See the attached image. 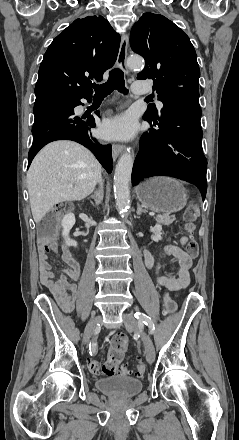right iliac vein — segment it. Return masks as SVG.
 I'll use <instances>...</instances> for the list:
<instances>
[{
	"label": "right iliac vein",
	"mask_w": 239,
	"mask_h": 440,
	"mask_svg": "<svg viewBox=\"0 0 239 440\" xmlns=\"http://www.w3.org/2000/svg\"><path fill=\"white\" fill-rule=\"evenodd\" d=\"M101 320L100 316L93 317L89 323L86 325L84 334H83V342L86 344L89 342L91 335L93 334L97 324Z\"/></svg>",
	"instance_id": "obj_1"
}]
</instances>
